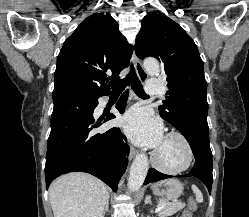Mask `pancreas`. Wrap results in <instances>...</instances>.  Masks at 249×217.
<instances>
[{"label": "pancreas", "instance_id": "cf45deb5", "mask_svg": "<svg viewBox=\"0 0 249 217\" xmlns=\"http://www.w3.org/2000/svg\"><path fill=\"white\" fill-rule=\"evenodd\" d=\"M159 205H164V208L159 212L160 217L172 216L185 207V203H168L165 200H160Z\"/></svg>", "mask_w": 249, "mask_h": 217}]
</instances>
